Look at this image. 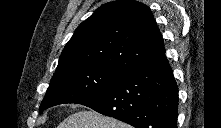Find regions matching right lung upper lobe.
<instances>
[{
	"label": "right lung upper lobe",
	"mask_w": 221,
	"mask_h": 128,
	"mask_svg": "<svg viewBox=\"0 0 221 128\" xmlns=\"http://www.w3.org/2000/svg\"><path fill=\"white\" fill-rule=\"evenodd\" d=\"M163 53L161 33L147 6L116 0L99 7L78 26L56 71L97 66L127 73Z\"/></svg>",
	"instance_id": "obj_1"
}]
</instances>
